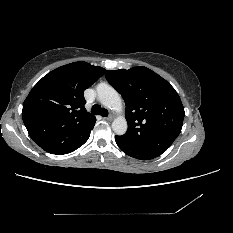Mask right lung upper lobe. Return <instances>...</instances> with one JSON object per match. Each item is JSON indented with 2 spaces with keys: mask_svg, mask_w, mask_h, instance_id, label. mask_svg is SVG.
<instances>
[{
  "mask_svg": "<svg viewBox=\"0 0 233 233\" xmlns=\"http://www.w3.org/2000/svg\"><path fill=\"white\" fill-rule=\"evenodd\" d=\"M105 72L74 62L45 75L30 91L22 117L30 137L51 154H67L89 138L96 119L84 108L83 92Z\"/></svg>",
  "mask_w": 233,
  "mask_h": 233,
  "instance_id": "cb5924a9",
  "label": "right lung upper lobe"
}]
</instances>
